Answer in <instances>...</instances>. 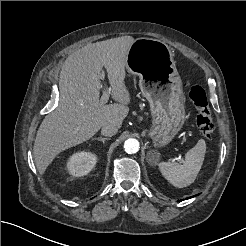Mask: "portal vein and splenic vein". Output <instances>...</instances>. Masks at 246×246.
<instances>
[{"label": "portal vein and splenic vein", "mask_w": 246, "mask_h": 246, "mask_svg": "<svg viewBox=\"0 0 246 246\" xmlns=\"http://www.w3.org/2000/svg\"><path fill=\"white\" fill-rule=\"evenodd\" d=\"M109 95H110V88L109 89H105L103 91V95L101 96V99H100L101 105H104V104H106L108 102Z\"/></svg>", "instance_id": "obj_1"}]
</instances>
